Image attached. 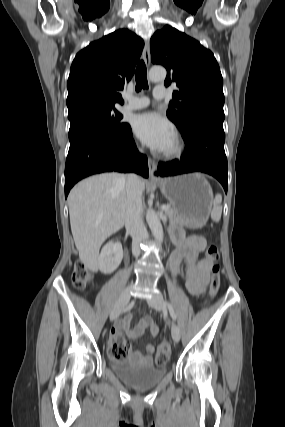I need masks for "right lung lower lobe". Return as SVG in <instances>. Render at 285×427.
Segmentation results:
<instances>
[{"mask_svg": "<svg viewBox=\"0 0 285 427\" xmlns=\"http://www.w3.org/2000/svg\"><path fill=\"white\" fill-rule=\"evenodd\" d=\"M136 172L148 177L147 157L137 151L130 125L115 135L91 128L70 139L65 167V197L79 180L102 172Z\"/></svg>", "mask_w": 285, "mask_h": 427, "instance_id": "98d812e1", "label": "right lung lower lobe"}]
</instances>
